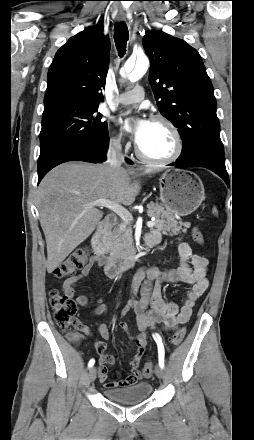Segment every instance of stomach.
Listing matches in <instances>:
<instances>
[{"label":"stomach","instance_id":"stomach-1","mask_svg":"<svg viewBox=\"0 0 254 440\" xmlns=\"http://www.w3.org/2000/svg\"><path fill=\"white\" fill-rule=\"evenodd\" d=\"M159 190L166 211L181 217L196 211L205 198L201 179L188 170L165 171L159 178Z\"/></svg>","mask_w":254,"mask_h":440}]
</instances>
